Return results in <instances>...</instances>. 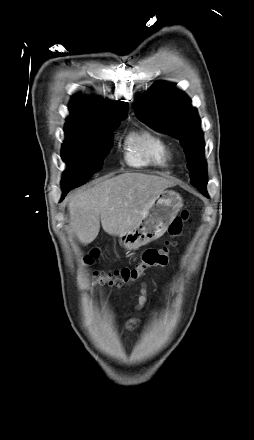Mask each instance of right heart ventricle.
Segmentation results:
<instances>
[{"label":"right heart ventricle","mask_w":254,"mask_h":440,"mask_svg":"<svg viewBox=\"0 0 254 440\" xmlns=\"http://www.w3.org/2000/svg\"><path fill=\"white\" fill-rule=\"evenodd\" d=\"M125 150L127 163L134 167H165L172 158L169 143L149 129L130 133L125 141Z\"/></svg>","instance_id":"obj_1"}]
</instances>
